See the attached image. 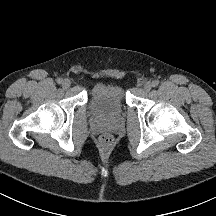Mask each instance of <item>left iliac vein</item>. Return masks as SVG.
Returning a JSON list of instances; mask_svg holds the SVG:
<instances>
[{"label":"left iliac vein","instance_id":"1","mask_svg":"<svg viewBox=\"0 0 216 216\" xmlns=\"http://www.w3.org/2000/svg\"><path fill=\"white\" fill-rule=\"evenodd\" d=\"M151 88H152V84H151L150 82H146V83L144 84V90H145L146 92H149V91L151 90Z\"/></svg>","mask_w":216,"mask_h":216}]
</instances>
